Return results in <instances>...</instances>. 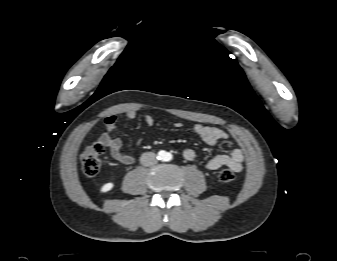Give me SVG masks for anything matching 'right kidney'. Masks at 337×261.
Segmentation results:
<instances>
[{"label":"right kidney","instance_id":"1","mask_svg":"<svg viewBox=\"0 0 337 261\" xmlns=\"http://www.w3.org/2000/svg\"><path fill=\"white\" fill-rule=\"evenodd\" d=\"M114 187L112 182L106 183L101 187V192H108Z\"/></svg>","mask_w":337,"mask_h":261}]
</instances>
